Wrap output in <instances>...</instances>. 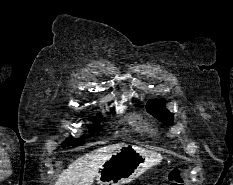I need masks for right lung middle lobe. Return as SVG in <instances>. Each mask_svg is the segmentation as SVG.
<instances>
[{"label":"right lung middle lobe","mask_w":233,"mask_h":185,"mask_svg":"<svg viewBox=\"0 0 233 185\" xmlns=\"http://www.w3.org/2000/svg\"><path fill=\"white\" fill-rule=\"evenodd\" d=\"M100 120H101V116H98L92 120L94 122V125L91 128V132L95 131L94 129L96 128V126L98 125ZM80 141H81V139H75V140L71 139L69 141L64 142V147L75 145V144L79 143Z\"/></svg>","instance_id":"dd1d6c3e"}]
</instances>
